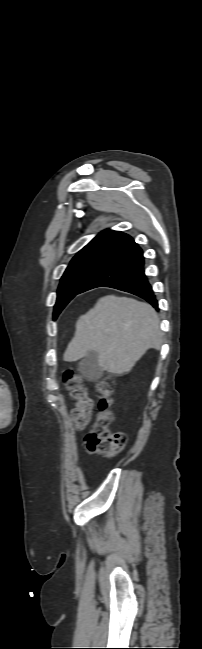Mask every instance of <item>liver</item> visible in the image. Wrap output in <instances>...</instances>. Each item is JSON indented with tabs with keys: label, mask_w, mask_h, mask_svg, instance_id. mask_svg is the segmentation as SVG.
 Wrapping results in <instances>:
<instances>
[{
	"label": "liver",
	"mask_w": 202,
	"mask_h": 649,
	"mask_svg": "<svg viewBox=\"0 0 202 649\" xmlns=\"http://www.w3.org/2000/svg\"><path fill=\"white\" fill-rule=\"evenodd\" d=\"M161 344L158 315L151 305L107 295L79 317L63 359L75 362L95 351L101 367L121 375L129 372L148 349H160Z\"/></svg>",
	"instance_id": "obj_1"
}]
</instances>
